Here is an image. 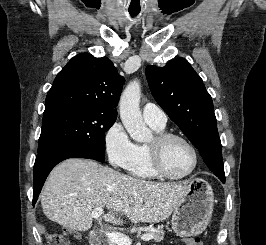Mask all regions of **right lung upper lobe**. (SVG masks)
Masks as SVG:
<instances>
[{"label":"right lung upper lobe","instance_id":"obj_1","mask_svg":"<svg viewBox=\"0 0 266 245\" xmlns=\"http://www.w3.org/2000/svg\"><path fill=\"white\" fill-rule=\"evenodd\" d=\"M124 78L107 57L81 53L59 72L45 101L44 117L76 108L116 114ZM43 117V118H44Z\"/></svg>","mask_w":266,"mask_h":245}]
</instances>
